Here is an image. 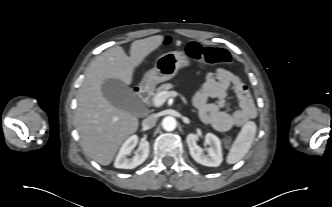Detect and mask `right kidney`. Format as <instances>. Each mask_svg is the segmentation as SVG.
<instances>
[{"label":"right kidney","mask_w":332,"mask_h":207,"mask_svg":"<svg viewBox=\"0 0 332 207\" xmlns=\"http://www.w3.org/2000/svg\"><path fill=\"white\" fill-rule=\"evenodd\" d=\"M138 143V137L136 135L130 136L120 148V151L115 159L114 166L121 169H133L142 164L149 155V142L143 141L140 144L139 152L129 158L128 155L134 149Z\"/></svg>","instance_id":"right-kidney-1"}]
</instances>
